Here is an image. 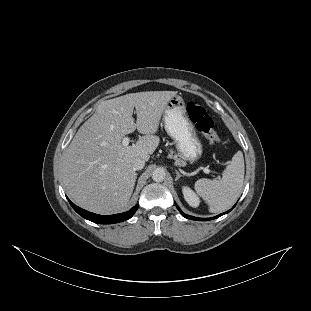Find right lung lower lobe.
<instances>
[{
	"mask_svg": "<svg viewBox=\"0 0 311 311\" xmlns=\"http://www.w3.org/2000/svg\"><path fill=\"white\" fill-rule=\"evenodd\" d=\"M68 201L71 204V206L73 207V209L78 214H80L85 219H88V220H90L94 223H98V224H112V223H118V222L125 221V220L131 218L133 216V214L136 212V210L138 209V205H136L125 213L103 216V215H98V214L88 212V211L76 206L75 204H73L69 199H68Z\"/></svg>",
	"mask_w": 311,
	"mask_h": 311,
	"instance_id": "98d812e1",
	"label": "right lung lower lobe"
}]
</instances>
